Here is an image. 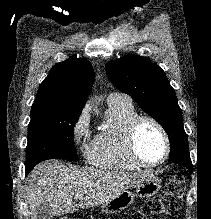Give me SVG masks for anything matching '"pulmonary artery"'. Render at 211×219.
Listing matches in <instances>:
<instances>
[{
  "instance_id": "pulmonary-artery-1",
  "label": "pulmonary artery",
  "mask_w": 211,
  "mask_h": 219,
  "mask_svg": "<svg viewBox=\"0 0 211 219\" xmlns=\"http://www.w3.org/2000/svg\"><path fill=\"white\" fill-rule=\"evenodd\" d=\"M120 100L130 101L129 98H127L119 93H115V92L109 94L107 97V102H114V101H120Z\"/></svg>"
}]
</instances>
